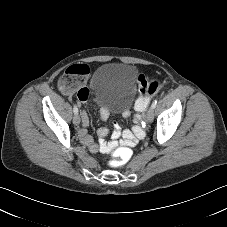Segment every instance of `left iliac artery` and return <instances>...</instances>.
Here are the masks:
<instances>
[{
    "label": "left iliac artery",
    "mask_w": 227,
    "mask_h": 227,
    "mask_svg": "<svg viewBox=\"0 0 227 227\" xmlns=\"http://www.w3.org/2000/svg\"><path fill=\"white\" fill-rule=\"evenodd\" d=\"M156 105H157V99H155L154 101H153V103H152V108L154 109L155 107H156Z\"/></svg>",
    "instance_id": "left-iliac-artery-1"
}]
</instances>
